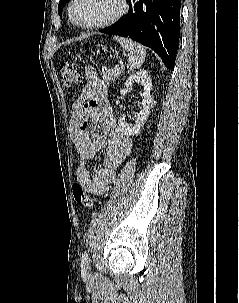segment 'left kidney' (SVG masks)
<instances>
[{
    "label": "left kidney",
    "mask_w": 239,
    "mask_h": 303,
    "mask_svg": "<svg viewBox=\"0 0 239 303\" xmlns=\"http://www.w3.org/2000/svg\"><path fill=\"white\" fill-rule=\"evenodd\" d=\"M134 83H139L143 86V102L142 108L137 114L135 125L128 124L123 117H119L118 123L127 135H135L140 130L147 119L149 114V105L152 101V97L150 95L152 90V79L146 70H141L131 75L125 82V86L127 88L132 87Z\"/></svg>",
    "instance_id": "1"
}]
</instances>
